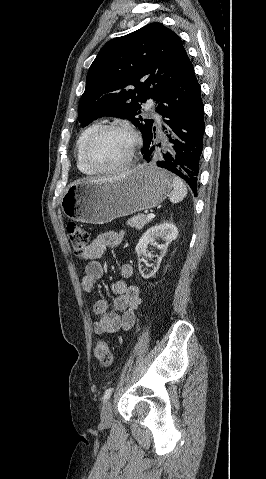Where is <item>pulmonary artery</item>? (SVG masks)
Listing matches in <instances>:
<instances>
[{
  "mask_svg": "<svg viewBox=\"0 0 266 479\" xmlns=\"http://www.w3.org/2000/svg\"><path fill=\"white\" fill-rule=\"evenodd\" d=\"M145 108L149 115L152 114V103H147Z\"/></svg>",
  "mask_w": 266,
  "mask_h": 479,
  "instance_id": "pulmonary-artery-1",
  "label": "pulmonary artery"
}]
</instances>
